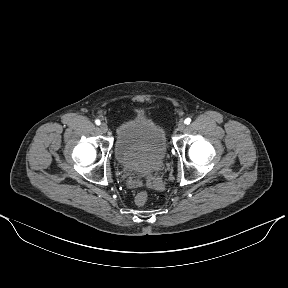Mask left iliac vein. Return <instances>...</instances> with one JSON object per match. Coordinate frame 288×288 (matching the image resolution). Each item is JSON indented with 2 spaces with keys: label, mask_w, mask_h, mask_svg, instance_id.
<instances>
[{
  "label": "left iliac vein",
  "mask_w": 288,
  "mask_h": 288,
  "mask_svg": "<svg viewBox=\"0 0 288 288\" xmlns=\"http://www.w3.org/2000/svg\"><path fill=\"white\" fill-rule=\"evenodd\" d=\"M186 125H185V122L183 120H180L178 125H177V128L179 131H183L185 129Z\"/></svg>",
  "instance_id": "1"
}]
</instances>
